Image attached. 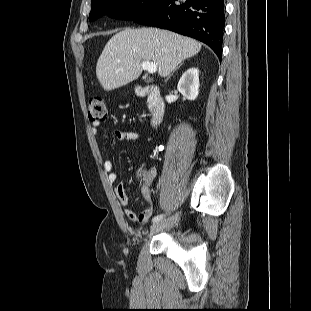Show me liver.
Masks as SVG:
<instances>
[{
    "label": "liver",
    "instance_id": "obj_1",
    "mask_svg": "<svg viewBox=\"0 0 311 311\" xmlns=\"http://www.w3.org/2000/svg\"><path fill=\"white\" fill-rule=\"evenodd\" d=\"M201 43L171 31L126 28L106 44L96 65V76L105 91L122 87L142 73L141 62L151 61L166 77L201 50Z\"/></svg>",
    "mask_w": 311,
    "mask_h": 311
}]
</instances>
